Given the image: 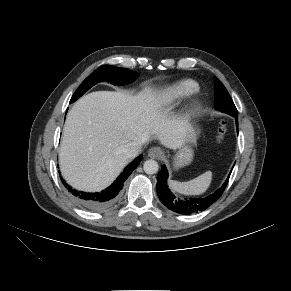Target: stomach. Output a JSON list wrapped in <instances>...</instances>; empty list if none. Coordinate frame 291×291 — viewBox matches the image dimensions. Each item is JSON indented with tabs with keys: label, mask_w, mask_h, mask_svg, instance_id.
Wrapping results in <instances>:
<instances>
[{
	"label": "stomach",
	"mask_w": 291,
	"mask_h": 291,
	"mask_svg": "<svg viewBox=\"0 0 291 291\" xmlns=\"http://www.w3.org/2000/svg\"><path fill=\"white\" fill-rule=\"evenodd\" d=\"M197 137L198 130L191 126L185 143L179 148L174 156L173 166L175 169L187 166L191 163L193 159V146L196 144Z\"/></svg>",
	"instance_id": "obj_1"
}]
</instances>
